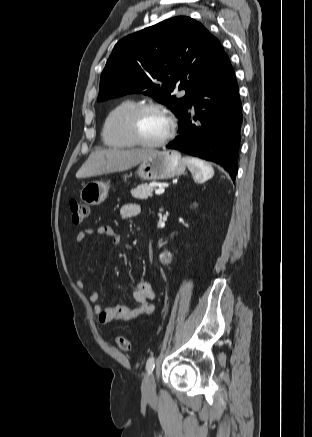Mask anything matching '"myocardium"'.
<instances>
[{
	"instance_id": "1",
	"label": "myocardium",
	"mask_w": 312,
	"mask_h": 437,
	"mask_svg": "<svg viewBox=\"0 0 312 437\" xmlns=\"http://www.w3.org/2000/svg\"><path fill=\"white\" fill-rule=\"evenodd\" d=\"M146 111H157L162 113L167 118L169 124L168 131L162 139L157 141H148L141 136L139 132L138 121L141 114H143ZM126 124H127L128 133L131 139L136 144L144 147H151V148L161 147L167 144L168 142H170L174 137L175 128H176V123L171 113L162 105L153 102L136 104L128 113Z\"/></svg>"
}]
</instances>
